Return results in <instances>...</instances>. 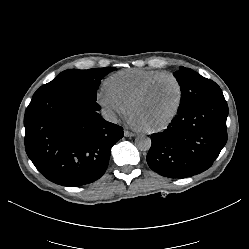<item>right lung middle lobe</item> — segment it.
<instances>
[{
    "label": "right lung middle lobe",
    "instance_id": "right-lung-middle-lobe-1",
    "mask_svg": "<svg viewBox=\"0 0 249 249\" xmlns=\"http://www.w3.org/2000/svg\"><path fill=\"white\" fill-rule=\"evenodd\" d=\"M114 70H116L115 67L65 70L51 82L41 86L34 93L33 98L50 93L74 92L84 96L87 100L96 102L97 89L102 78Z\"/></svg>",
    "mask_w": 249,
    "mask_h": 249
}]
</instances>
